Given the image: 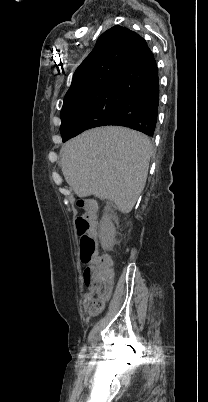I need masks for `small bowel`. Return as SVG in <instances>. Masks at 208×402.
Returning a JSON list of instances; mask_svg holds the SVG:
<instances>
[{"instance_id":"c3829d8e","label":"small bowel","mask_w":208,"mask_h":402,"mask_svg":"<svg viewBox=\"0 0 208 402\" xmlns=\"http://www.w3.org/2000/svg\"><path fill=\"white\" fill-rule=\"evenodd\" d=\"M87 270V269H86ZM85 270L84 273H87V271ZM95 297L101 299L104 301V303H106L107 301H109L111 295H94Z\"/></svg>"}]
</instances>
